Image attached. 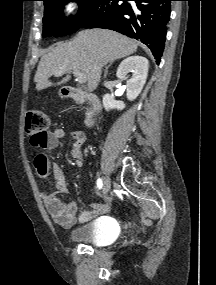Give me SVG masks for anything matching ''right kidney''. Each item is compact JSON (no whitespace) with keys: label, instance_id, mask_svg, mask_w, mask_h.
Wrapping results in <instances>:
<instances>
[{"label":"right kidney","instance_id":"right-kidney-1","mask_svg":"<svg viewBox=\"0 0 216 285\" xmlns=\"http://www.w3.org/2000/svg\"><path fill=\"white\" fill-rule=\"evenodd\" d=\"M149 62L142 56H131L124 59L117 69V77L122 80L127 79V74L132 72V77L127 80V98L130 101L135 100L141 93L147 79ZM103 107L106 111L111 109L123 110L125 104L123 101H116L112 95L103 96Z\"/></svg>","mask_w":216,"mask_h":285}]
</instances>
